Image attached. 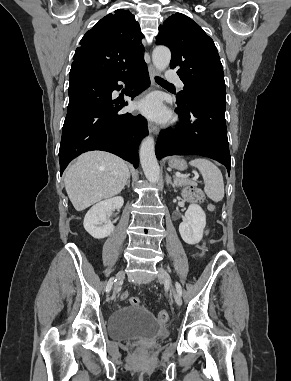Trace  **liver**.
I'll use <instances>...</instances> for the list:
<instances>
[{"label":"liver","mask_w":291,"mask_h":381,"mask_svg":"<svg viewBox=\"0 0 291 381\" xmlns=\"http://www.w3.org/2000/svg\"><path fill=\"white\" fill-rule=\"evenodd\" d=\"M129 168L120 157L103 151L80 155L64 177L66 192L77 211L119 194Z\"/></svg>","instance_id":"1"}]
</instances>
